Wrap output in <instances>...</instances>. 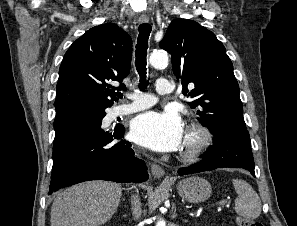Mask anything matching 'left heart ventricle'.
Listing matches in <instances>:
<instances>
[{
	"label": "left heart ventricle",
	"mask_w": 297,
	"mask_h": 226,
	"mask_svg": "<svg viewBox=\"0 0 297 226\" xmlns=\"http://www.w3.org/2000/svg\"><path fill=\"white\" fill-rule=\"evenodd\" d=\"M191 136L186 132L185 133V139H184V144H186L190 140Z\"/></svg>",
	"instance_id": "left-heart-ventricle-1"
}]
</instances>
